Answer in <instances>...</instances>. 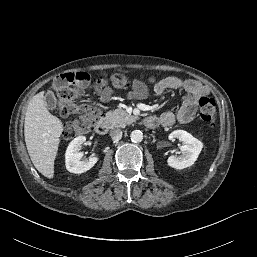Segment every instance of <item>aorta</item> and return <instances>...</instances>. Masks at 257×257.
I'll list each match as a JSON object with an SVG mask.
<instances>
[{
  "label": "aorta",
  "mask_w": 257,
  "mask_h": 257,
  "mask_svg": "<svg viewBox=\"0 0 257 257\" xmlns=\"http://www.w3.org/2000/svg\"><path fill=\"white\" fill-rule=\"evenodd\" d=\"M130 138H131L132 142L139 143L143 139V133L140 130H134V131H132Z\"/></svg>",
  "instance_id": "1"
}]
</instances>
